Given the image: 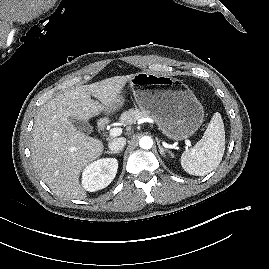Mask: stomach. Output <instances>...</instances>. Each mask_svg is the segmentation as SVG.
Returning a JSON list of instances; mask_svg holds the SVG:
<instances>
[{
    "instance_id": "1",
    "label": "stomach",
    "mask_w": 269,
    "mask_h": 269,
    "mask_svg": "<svg viewBox=\"0 0 269 269\" xmlns=\"http://www.w3.org/2000/svg\"><path fill=\"white\" fill-rule=\"evenodd\" d=\"M136 103L145 111L164 135L174 141L192 136L203 123L204 110L193 92L180 80L151 72L136 73L130 80ZM123 104L118 96L108 112Z\"/></svg>"
}]
</instances>
